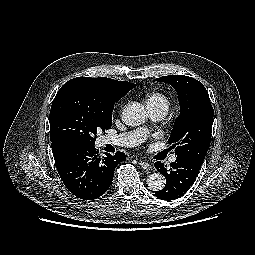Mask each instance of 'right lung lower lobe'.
Here are the masks:
<instances>
[{
    "label": "right lung lower lobe",
    "instance_id": "98d812e1",
    "mask_svg": "<svg viewBox=\"0 0 255 255\" xmlns=\"http://www.w3.org/2000/svg\"><path fill=\"white\" fill-rule=\"evenodd\" d=\"M52 152L58 173L66 188L76 197L93 200L110 187L115 167L126 156L116 152L101 158L94 145L70 141H54Z\"/></svg>",
    "mask_w": 255,
    "mask_h": 255
}]
</instances>
